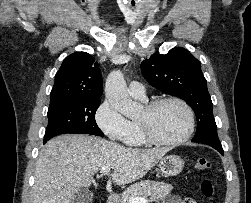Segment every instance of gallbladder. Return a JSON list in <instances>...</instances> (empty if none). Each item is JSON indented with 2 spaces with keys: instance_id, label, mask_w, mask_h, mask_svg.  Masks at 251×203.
Masks as SVG:
<instances>
[{
  "instance_id": "bac80fb5",
  "label": "gallbladder",
  "mask_w": 251,
  "mask_h": 203,
  "mask_svg": "<svg viewBox=\"0 0 251 203\" xmlns=\"http://www.w3.org/2000/svg\"><path fill=\"white\" fill-rule=\"evenodd\" d=\"M93 193L88 189L79 190L72 199L71 203H92Z\"/></svg>"
}]
</instances>
